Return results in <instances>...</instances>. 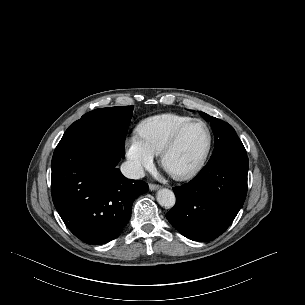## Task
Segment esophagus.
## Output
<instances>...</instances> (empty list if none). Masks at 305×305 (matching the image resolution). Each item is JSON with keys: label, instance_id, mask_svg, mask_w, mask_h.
<instances>
[{"label": "esophagus", "instance_id": "1", "mask_svg": "<svg viewBox=\"0 0 305 305\" xmlns=\"http://www.w3.org/2000/svg\"><path fill=\"white\" fill-rule=\"evenodd\" d=\"M160 187H161V186L158 185V184H149V189H150L151 191L157 190V189H159Z\"/></svg>", "mask_w": 305, "mask_h": 305}]
</instances>
